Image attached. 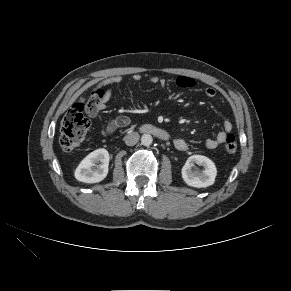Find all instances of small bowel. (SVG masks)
I'll return each instance as SVG.
<instances>
[{
    "instance_id": "obj_1",
    "label": "small bowel",
    "mask_w": 291,
    "mask_h": 291,
    "mask_svg": "<svg viewBox=\"0 0 291 291\" xmlns=\"http://www.w3.org/2000/svg\"><path fill=\"white\" fill-rule=\"evenodd\" d=\"M123 80L121 75H114L108 78L101 80L96 87L93 89L91 93V98L94 100L93 102L89 103L88 105V113L90 116L95 117L99 112L104 111L107 107V104L111 98V90L109 89L110 86L119 84ZM133 81H140L141 75L133 74L132 75ZM150 82L154 84H161L163 85V80L159 79L156 76H152L150 78ZM176 84L180 88L190 89L194 87L195 81L194 79L187 77V76H180L176 79ZM204 93L208 97H214L216 91L212 87H206L204 89ZM126 118V117H125ZM129 122L127 118L126 124H118L117 119L107 128L106 133L112 131L116 127H122L127 125ZM232 130V124L230 121H225L223 123V131L219 132L215 138L208 139L206 141V147L208 149H216L219 145L225 143L226 136ZM174 146L179 151H185L188 149V143L186 140L177 138L174 140Z\"/></svg>"
}]
</instances>
